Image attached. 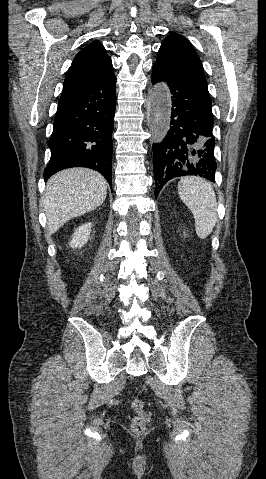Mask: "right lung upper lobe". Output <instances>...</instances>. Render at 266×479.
Masks as SVG:
<instances>
[{
	"mask_svg": "<svg viewBox=\"0 0 266 479\" xmlns=\"http://www.w3.org/2000/svg\"><path fill=\"white\" fill-rule=\"evenodd\" d=\"M114 75L113 66L103 45L94 41L74 58L64 81V87L105 80Z\"/></svg>",
	"mask_w": 266,
	"mask_h": 479,
	"instance_id": "obj_1",
	"label": "right lung upper lobe"
}]
</instances>
